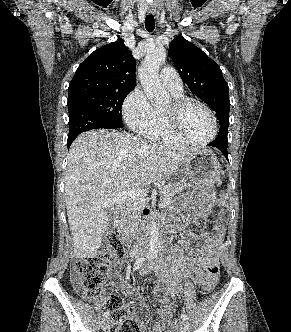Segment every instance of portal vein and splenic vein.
<instances>
[{
  "mask_svg": "<svg viewBox=\"0 0 291 332\" xmlns=\"http://www.w3.org/2000/svg\"><path fill=\"white\" fill-rule=\"evenodd\" d=\"M146 196H147L146 192H144L140 189L128 190V191H123L121 193L115 194L114 196L109 198L106 203L107 204H117V203H123V202L134 201V200L143 201V200H145ZM169 203H170V200H164L160 203V206L165 207Z\"/></svg>",
  "mask_w": 291,
  "mask_h": 332,
  "instance_id": "portal-vein-and-splenic-vein-1",
  "label": "portal vein and splenic vein"
}]
</instances>
